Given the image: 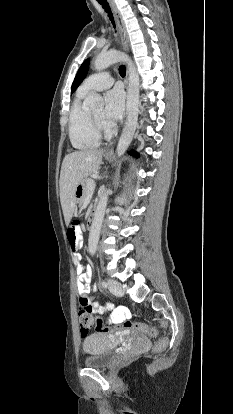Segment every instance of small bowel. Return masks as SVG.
I'll return each instance as SVG.
<instances>
[{"instance_id": "1", "label": "small bowel", "mask_w": 233, "mask_h": 414, "mask_svg": "<svg viewBox=\"0 0 233 414\" xmlns=\"http://www.w3.org/2000/svg\"><path fill=\"white\" fill-rule=\"evenodd\" d=\"M78 235L82 236L83 232L79 231ZM72 256L74 259L73 265L76 268V273H77V283H76L77 293L80 296L88 299V301L90 302L92 306L93 311H96L99 313H102L104 311H109L110 317H109L108 323L118 324V323H122L125 320L129 319L130 311L127 308L121 307V306L115 307L111 303H106L103 306L100 303L92 300V297L89 295L91 291V288L89 285L91 281V276H92L91 269L81 264L82 255L80 254L79 251L72 252Z\"/></svg>"}]
</instances>
